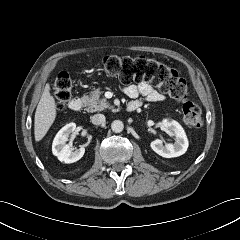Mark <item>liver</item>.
<instances>
[{
	"instance_id": "obj_1",
	"label": "liver",
	"mask_w": 240,
	"mask_h": 240,
	"mask_svg": "<svg viewBox=\"0 0 240 240\" xmlns=\"http://www.w3.org/2000/svg\"><path fill=\"white\" fill-rule=\"evenodd\" d=\"M55 118V100L50 94L49 85H46L35 112L34 135L37 142L43 139Z\"/></svg>"
}]
</instances>
